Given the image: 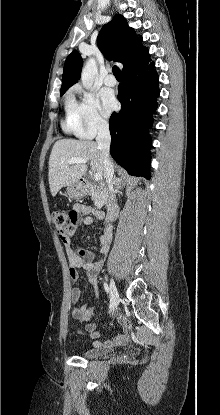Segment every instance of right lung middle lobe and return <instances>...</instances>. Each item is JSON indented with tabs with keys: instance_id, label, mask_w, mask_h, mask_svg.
<instances>
[{
	"instance_id": "1",
	"label": "right lung middle lobe",
	"mask_w": 220,
	"mask_h": 415,
	"mask_svg": "<svg viewBox=\"0 0 220 415\" xmlns=\"http://www.w3.org/2000/svg\"><path fill=\"white\" fill-rule=\"evenodd\" d=\"M65 92H60V96H62Z\"/></svg>"
}]
</instances>
